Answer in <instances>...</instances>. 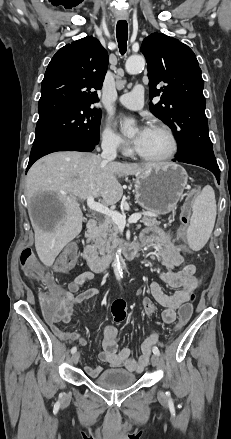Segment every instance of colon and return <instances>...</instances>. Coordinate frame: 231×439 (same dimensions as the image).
<instances>
[{"label":"colon","mask_w":231,"mask_h":439,"mask_svg":"<svg viewBox=\"0 0 231 439\" xmlns=\"http://www.w3.org/2000/svg\"><path fill=\"white\" fill-rule=\"evenodd\" d=\"M191 214V201L187 199L183 204L181 209L179 221L182 227H186L189 223V218ZM78 243L73 241L70 245L66 246L60 253L54 269L58 273H66L71 270L78 258ZM187 258L193 259L196 256L195 251L189 250L186 253ZM21 265L25 272L30 276L41 280L47 284L48 290L46 292H40V297L38 299V304L43 312L44 320H54L55 311L58 307L61 291L58 286H56L50 278H43V270L39 264L36 256L32 252V248L27 246L21 254ZM202 280L205 278L203 275L200 277ZM197 296L194 293L189 294L188 302L181 303L177 310V317L179 323L176 325V330H178L184 323H190L191 317L194 315V304ZM111 313L116 322H121L125 319L127 314V305L124 300H116L111 306Z\"/></svg>","instance_id":"colon-1"}]
</instances>
